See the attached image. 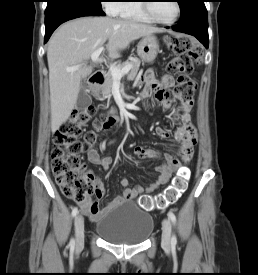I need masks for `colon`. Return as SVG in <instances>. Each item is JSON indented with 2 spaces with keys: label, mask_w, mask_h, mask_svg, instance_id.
<instances>
[{
  "label": "colon",
  "mask_w": 258,
  "mask_h": 275,
  "mask_svg": "<svg viewBox=\"0 0 258 275\" xmlns=\"http://www.w3.org/2000/svg\"><path fill=\"white\" fill-rule=\"evenodd\" d=\"M165 43L167 48L176 54L169 61L167 71L177 75L178 79L171 93L157 94V98L162 96L169 102L180 103L191 101L197 88L191 74L195 65L200 62L202 52L189 36H167ZM93 114L92 107L80 109L64 122L56 132L51 153L52 170L62 193L77 202L89 199L95 192V177L92 172L86 170L80 154L95 143L98 131L111 129L116 124L113 117H99L93 122V128L85 133L82 142L80 137ZM190 175L187 165L180 167L163 192L155 196H140L137 200L138 205L147 211L166 209L186 190Z\"/></svg>",
  "instance_id": "colon-1"
}]
</instances>
